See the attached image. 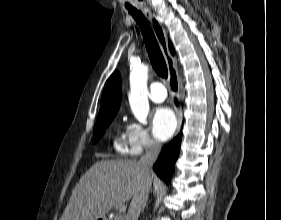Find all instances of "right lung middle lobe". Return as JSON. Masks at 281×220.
Listing matches in <instances>:
<instances>
[{
	"label": "right lung middle lobe",
	"mask_w": 281,
	"mask_h": 220,
	"mask_svg": "<svg viewBox=\"0 0 281 220\" xmlns=\"http://www.w3.org/2000/svg\"><path fill=\"white\" fill-rule=\"evenodd\" d=\"M115 115L104 116L97 118V123L95 126L93 142L96 143L100 137L103 135L104 130L112 122Z\"/></svg>",
	"instance_id": "right-lung-middle-lobe-1"
}]
</instances>
